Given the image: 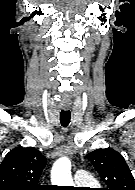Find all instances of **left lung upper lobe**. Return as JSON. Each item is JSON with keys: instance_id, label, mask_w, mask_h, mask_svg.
I'll use <instances>...</instances> for the list:
<instances>
[{"instance_id": "left-lung-upper-lobe-1", "label": "left lung upper lobe", "mask_w": 135, "mask_h": 190, "mask_svg": "<svg viewBox=\"0 0 135 190\" xmlns=\"http://www.w3.org/2000/svg\"><path fill=\"white\" fill-rule=\"evenodd\" d=\"M87 158L107 184L105 190H135V181L123 156L111 149H96Z\"/></svg>"}]
</instances>
